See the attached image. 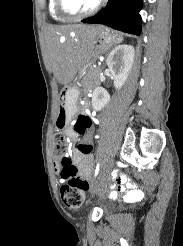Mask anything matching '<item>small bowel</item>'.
I'll use <instances>...</instances> for the list:
<instances>
[{"label": "small bowel", "instance_id": "c3829d8e", "mask_svg": "<svg viewBox=\"0 0 183 246\" xmlns=\"http://www.w3.org/2000/svg\"><path fill=\"white\" fill-rule=\"evenodd\" d=\"M66 133L71 140H75L78 137V134L73 129H67ZM83 143L91 144V138L84 137ZM72 156L80 174L85 178H89L92 172L93 157H85L77 149L73 151ZM112 172L117 174V178L108 179L109 186H107V191H117V193H107V198H119V193H127L126 196L131 199L142 195V192L136 189L135 184L127 182L128 174H120V169H113Z\"/></svg>", "mask_w": 183, "mask_h": 246}]
</instances>
